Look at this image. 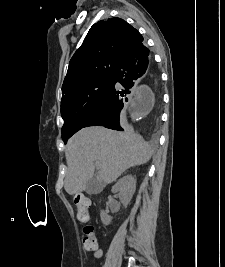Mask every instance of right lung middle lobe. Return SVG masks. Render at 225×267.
Masks as SVG:
<instances>
[{
    "label": "right lung middle lobe",
    "instance_id": "dd1d6c3e",
    "mask_svg": "<svg viewBox=\"0 0 225 267\" xmlns=\"http://www.w3.org/2000/svg\"><path fill=\"white\" fill-rule=\"evenodd\" d=\"M112 83L113 74L91 79L62 93V139L65 143L101 106Z\"/></svg>",
    "mask_w": 225,
    "mask_h": 267
}]
</instances>
